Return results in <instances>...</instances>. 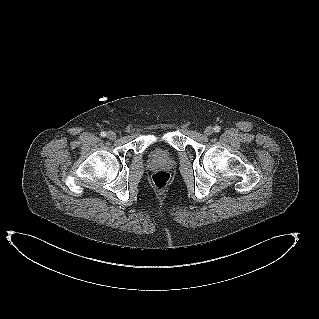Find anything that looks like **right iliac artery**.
I'll list each match as a JSON object with an SVG mask.
<instances>
[{"label": "right iliac artery", "instance_id": "82829eb1", "mask_svg": "<svg viewBox=\"0 0 319 319\" xmlns=\"http://www.w3.org/2000/svg\"><path fill=\"white\" fill-rule=\"evenodd\" d=\"M106 135H107V134H106V132H104V131L100 133V136H101V137H105Z\"/></svg>", "mask_w": 319, "mask_h": 319}]
</instances>
